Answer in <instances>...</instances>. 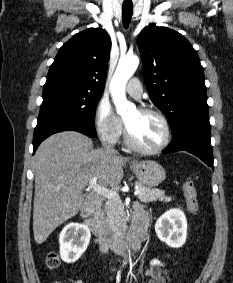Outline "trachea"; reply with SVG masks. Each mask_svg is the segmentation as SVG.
<instances>
[{
  "label": "trachea",
  "mask_w": 233,
  "mask_h": 283,
  "mask_svg": "<svg viewBox=\"0 0 233 283\" xmlns=\"http://www.w3.org/2000/svg\"><path fill=\"white\" fill-rule=\"evenodd\" d=\"M122 22H123V26L124 28H128L131 18H132V14H133V6H123L122 7Z\"/></svg>",
  "instance_id": "obj_1"
}]
</instances>
